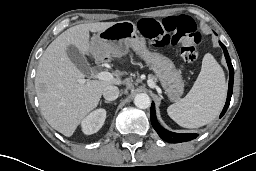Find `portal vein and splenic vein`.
<instances>
[{
    "label": "portal vein and splenic vein",
    "mask_w": 256,
    "mask_h": 171,
    "mask_svg": "<svg viewBox=\"0 0 256 171\" xmlns=\"http://www.w3.org/2000/svg\"><path fill=\"white\" fill-rule=\"evenodd\" d=\"M95 78L98 80L111 81L114 79L113 75L110 72L102 71L95 75ZM81 83H85L86 79H81Z\"/></svg>",
    "instance_id": "1"
}]
</instances>
